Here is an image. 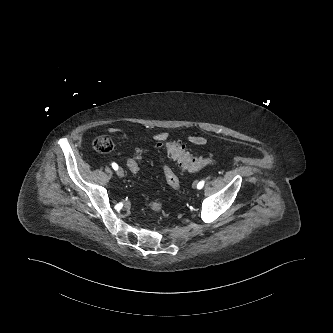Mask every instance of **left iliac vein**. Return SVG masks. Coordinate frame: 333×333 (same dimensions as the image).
Returning <instances> with one entry per match:
<instances>
[{"label": "left iliac vein", "mask_w": 333, "mask_h": 333, "mask_svg": "<svg viewBox=\"0 0 333 333\" xmlns=\"http://www.w3.org/2000/svg\"><path fill=\"white\" fill-rule=\"evenodd\" d=\"M196 184H197V182L195 181V182L193 183V187H195V186H196Z\"/></svg>", "instance_id": "obj_1"}]
</instances>
